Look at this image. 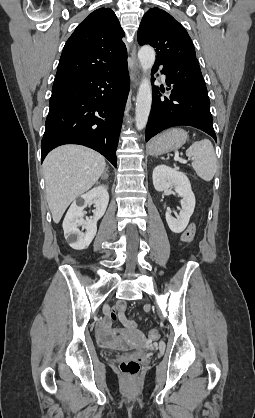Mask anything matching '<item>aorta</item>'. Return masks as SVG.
<instances>
[{"label":"aorta","instance_id":"1","mask_svg":"<svg viewBox=\"0 0 255 418\" xmlns=\"http://www.w3.org/2000/svg\"><path fill=\"white\" fill-rule=\"evenodd\" d=\"M138 59L144 74H146L151 70L155 62L154 49L148 45L141 47L138 51ZM151 104V83L150 80L144 76L136 97L135 123L138 130H142L146 126L151 110Z\"/></svg>","mask_w":255,"mask_h":418}]
</instances>
